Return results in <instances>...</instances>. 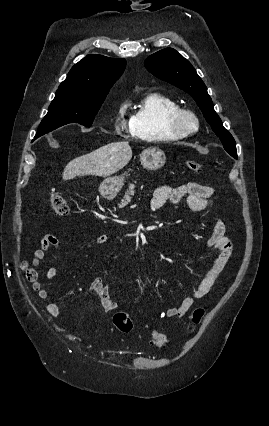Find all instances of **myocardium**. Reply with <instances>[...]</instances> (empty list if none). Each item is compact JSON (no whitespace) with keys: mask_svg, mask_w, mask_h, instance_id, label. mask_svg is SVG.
<instances>
[{"mask_svg":"<svg viewBox=\"0 0 269 426\" xmlns=\"http://www.w3.org/2000/svg\"><path fill=\"white\" fill-rule=\"evenodd\" d=\"M167 125L179 137H186L198 130L199 120L192 110L178 107L168 113Z\"/></svg>","mask_w":269,"mask_h":426,"instance_id":"myocardium-1","label":"myocardium"}]
</instances>
